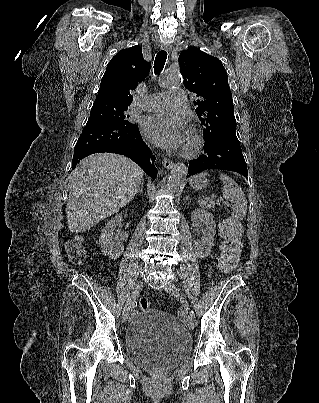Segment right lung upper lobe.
<instances>
[{
    "instance_id": "1",
    "label": "right lung upper lobe",
    "mask_w": 319,
    "mask_h": 403,
    "mask_svg": "<svg viewBox=\"0 0 319 403\" xmlns=\"http://www.w3.org/2000/svg\"><path fill=\"white\" fill-rule=\"evenodd\" d=\"M150 68L139 46L119 51L107 65L94 102L130 105L131 92L147 77Z\"/></svg>"
}]
</instances>
